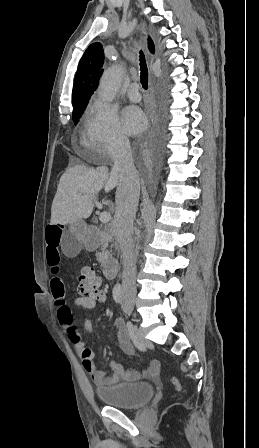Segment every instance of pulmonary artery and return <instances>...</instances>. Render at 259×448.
<instances>
[{
  "instance_id": "obj_1",
  "label": "pulmonary artery",
  "mask_w": 259,
  "mask_h": 448,
  "mask_svg": "<svg viewBox=\"0 0 259 448\" xmlns=\"http://www.w3.org/2000/svg\"><path fill=\"white\" fill-rule=\"evenodd\" d=\"M139 88L138 83H131L128 89V97L133 102H138L141 100V95L135 91Z\"/></svg>"
}]
</instances>
